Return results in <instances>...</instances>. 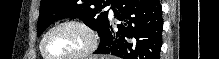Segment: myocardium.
<instances>
[{"instance_id": "myocardium-1", "label": "myocardium", "mask_w": 219, "mask_h": 59, "mask_svg": "<svg viewBox=\"0 0 219 59\" xmlns=\"http://www.w3.org/2000/svg\"><path fill=\"white\" fill-rule=\"evenodd\" d=\"M64 26H74L82 30L86 37H87V44L84 49L81 51L67 57H53L46 52L45 49V42L48 36L56 29L64 27ZM98 45V38L94 30L85 22L78 20V19H67L60 21L49 28L45 34L43 35L41 42H40V51L42 56L45 59H82L89 55H91L97 48Z\"/></svg>"}]
</instances>
